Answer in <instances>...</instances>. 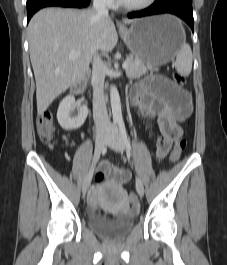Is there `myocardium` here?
Here are the masks:
<instances>
[{
	"label": "myocardium",
	"mask_w": 227,
	"mask_h": 265,
	"mask_svg": "<svg viewBox=\"0 0 227 265\" xmlns=\"http://www.w3.org/2000/svg\"><path fill=\"white\" fill-rule=\"evenodd\" d=\"M154 2L155 0H145L144 2L140 4L129 5V4L124 3L122 0H118V5L121 8L128 10V11H141V10H144L150 7Z\"/></svg>",
	"instance_id": "f54148a6"
}]
</instances>
